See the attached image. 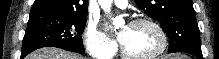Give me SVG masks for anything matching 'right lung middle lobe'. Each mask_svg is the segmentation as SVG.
I'll use <instances>...</instances> for the list:
<instances>
[{"instance_id": "obj_1", "label": "right lung middle lobe", "mask_w": 219, "mask_h": 59, "mask_svg": "<svg viewBox=\"0 0 219 59\" xmlns=\"http://www.w3.org/2000/svg\"><path fill=\"white\" fill-rule=\"evenodd\" d=\"M87 15H58L51 13H30L21 50L22 58L42 47H57L83 53L81 34Z\"/></svg>"}]
</instances>
